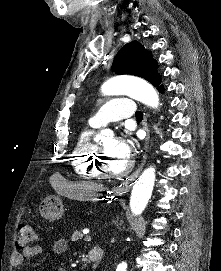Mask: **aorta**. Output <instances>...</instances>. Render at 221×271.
Here are the masks:
<instances>
[{"instance_id":"aorta-1","label":"aorta","mask_w":221,"mask_h":271,"mask_svg":"<svg viewBox=\"0 0 221 271\" xmlns=\"http://www.w3.org/2000/svg\"><path fill=\"white\" fill-rule=\"evenodd\" d=\"M101 92L104 95L126 94L142 102L143 104L157 108L159 106V97L156 90L149 83L125 76H118L106 81ZM155 182V168L149 167L135 181L130 197V209L133 215L142 214L151 197ZM127 263L122 262L116 268V271H126Z\"/></svg>"}]
</instances>
